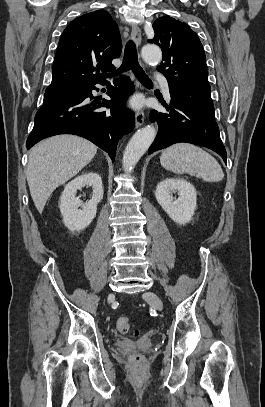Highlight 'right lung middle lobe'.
<instances>
[{
	"label": "right lung middle lobe",
	"mask_w": 265,
	"mask_h": 407,
	"mask_svg": "<svg viewBox=\"0 0 265 407\" xmlns=\"http://www.w3.org/2000/svg\"><path fill=\"white\" fill-rule=\"evenodd\" d=\"M82 85L76 84H54L47 87L44 96V104L62 100L74 95Z\"/></svg>",
	"instance_id": "dd1d6c3e"
}]
</instances>
